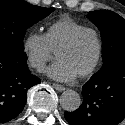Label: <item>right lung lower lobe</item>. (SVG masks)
I'll list each match as a JSON object with an SVG mask.
<instances>
[{"label":"right lung lower lobe","mask_w":125,"mask_h":125,"mask_svg":"<svg viewBox=\"0 0 125 125\" xmlns=\"http://www.w3.org/2000/svg\"><path fill=\"white\" fill-rule=\"evenodd\" d=\"M23 50L0 42V123L17 117L27 101L28 89L41 81L28 69Z\"/></svg>","instance_id":"1"}]
</instances>
